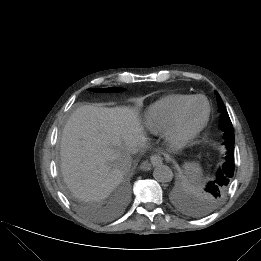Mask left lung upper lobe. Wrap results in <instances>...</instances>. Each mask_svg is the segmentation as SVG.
Here are the masks:
<instances>
[{
	"instance_id": "obj_1",
	"label": "left lung upper lobe",
	"mask_w": 261,
	"mask_h": 261,
	"mask_svg": "<svg viewBox=\"0 0 261 261\" xmlns=\"http://www.w3.org/2000/svg\"><path fill=\"white\" fill-rule=\"evenodd\" d=\"M220 116V128L224 132V144L228 151L234 149V131L231 120L224 108L223 101L218 93H216ZM231 177L225 173L221 167L214 180L209 182L203 192L202 205L199 210L200 213L206 214L214 210L224 199L230 183Z\"/></svg>"
}]
</instances>
